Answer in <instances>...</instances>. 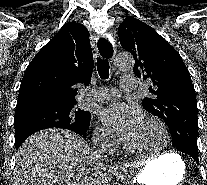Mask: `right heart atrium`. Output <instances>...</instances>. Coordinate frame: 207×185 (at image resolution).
<instances>
[{"mask_svg":"<svg viewBox=\"0 0 207 185\" xmlns=\"http://www.w3.org/2000/svg\"><path fill=\"white\" fill-rule=\"evenodd\" d=\"M117 137L109 131L107 128L103 126H96L93 133V142L103 148V149H111L117 144Z\"/></svg>","mask_w":207,"mask_h":185,"instance_id":"1","label":"right heart atrium"}]
</instances>
